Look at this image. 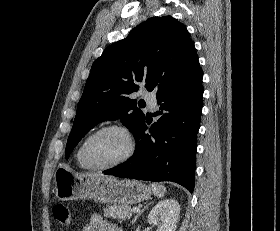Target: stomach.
Listing matches in <instances>:
<instances>
[{"label":"stomach","mask_w":280,"mask_h":231,"mask_svg":"<svg viewBox=\"0 0 280 231\" xmlns=\"http://www.w3.org/2000/svg\"><path fill=\"white\" fill-rule=\"evenodd\" d=\"M54 189L58 199H94L100 203H140L151 197L152 189L136 179L89 177L70 167H57Z\"/></svg>","instance_id":"0dacf381"}]
</instances>
